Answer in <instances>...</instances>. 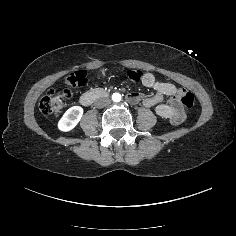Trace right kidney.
Here are the masks:
<instances>
[{"label":"right kidney","instance_id":"ca27d5eb","mask_svg":"<svg viewBox=\"0 0 236 236\" xmlns=\"http://www.w3.org/2000/svg\"><path fill=\"white\" fill-rule=\"evenodd\" d=\"M84 114V109L81 106H72L65 111L57 123V129L61 132H69L73 130Z\"/></svg>","mask_w":236,"mask_h":236}]
</instances>
